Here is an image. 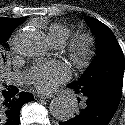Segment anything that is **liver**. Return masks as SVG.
Segmentation results:
<instances>
[{
  "label": "liver",
  "mask_w": 125,
  "mask_h": 125,
  "mask_svg": "<svg viewBox=\"0 0 125 125\" xmlns=\"http://www.w3.org/2000/svg\"><path fill=\"white\" fill-rule=\"evenodd\" d=\"M3 72V60L0 54V81H1V73Z\"/></svg>",
  "instance_id": "6515ba94"
}]
</instances>
